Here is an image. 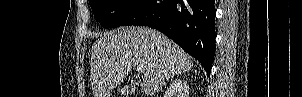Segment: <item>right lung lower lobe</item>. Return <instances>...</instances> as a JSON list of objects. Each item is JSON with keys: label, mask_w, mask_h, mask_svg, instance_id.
Returning <instances> with one entry per match:
<instances>
[{"label": "right lung lower lobe", "mask_w": 302, "mask_h": 97, "mask_svg": "<svg viewBox=\"0 0 302 97\" xmlns=\"http://www.w3.org/2000/svg\"><path fill=\"white\" fill-rule=\"evenodd\" d=\"M215 0H145L121 26L155 28L195 57L210 75L215 54Z\"/></svg>", "instance_id": "1"}]
</instances>
